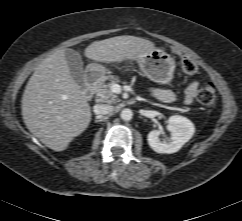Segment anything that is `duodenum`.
<instances>
[{
  "label": "duodenum",
  "instance_id": "duodenum-1",
  "mask_svg": "<svg viewBox=\"0 0 242 221\" xmlns=\"http://www.w3.org/2000/svg\"><path fill=\"white\" fill-rule=\"evenodd\" d=\"M100 73L96 70H90L86 76V88L84 96L91 98L94 94V85L99 80Z\"/></svg>",
  "mask_w": 242,
  "mask_h": 221
}]
</instances>
